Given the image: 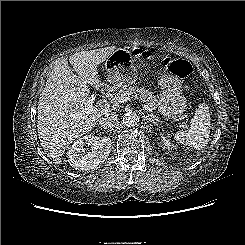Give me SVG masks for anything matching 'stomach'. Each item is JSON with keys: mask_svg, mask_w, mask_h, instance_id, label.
I'll return each mask as SVG.
<instances>
[{"mask_svg": "<svg viewBox=\"0 0 245 245\" xmlns=\"http://www.w3.org/2000/svg\"><path fill=\"white\" fill-rule=\"evenodd\" d=\"M132 58L129 50L119 48L106 59L107 81L113 88H124L136 82L138 73ZM158 85L162 92L160 112L167 118L182 115L187 105L180 79L173 74H164L159 78Z\"/></svg>", "mask_w": 245, "mask_h": 245, "instance_id": "obj_1", "label": "stomach"}]
</instances>
